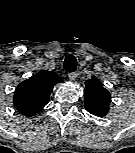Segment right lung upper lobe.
<instances>
[{
	"mask_svg": "<svg viewBox=\"0 0 135 153\" xmlns=\"http://www.w3.org/2000/svg\"><path fill=\"white\" fill-rule=\"evenodd\" d=\"M63 79L53 71L41 70L29 79L21 82L15 90V105L25 116H33L48 103L55 84Z\"/></svg>",
	"mask_w": 135,
	"mask_h": 153,
	"instance_id": "right-lung-upper-lobe-1",
	"label": "right lung upper lobe"
}]
</instances>
